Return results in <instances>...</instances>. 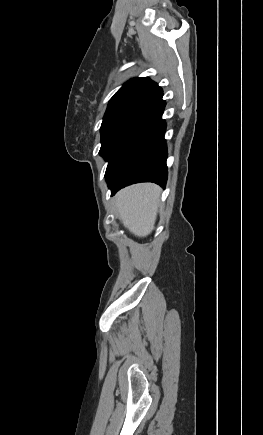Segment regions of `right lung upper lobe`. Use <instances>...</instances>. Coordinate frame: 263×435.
<instances>
[{
    "instance_id": "cb5924a9",
    "label": "right lung upper lobe",
    "mask_w": 263,
    "mask_h": 435,
    "mask_svg": "<svg viewBox=\"0 0 263 435\" xmlns=\"http://www.w3.org/2000/svg\"><path fill=\"white\" fill-rule=\"evenodd\" d=\"M162 93V89L148 77L133 78L111 98L108 106L135 104L145 106Z\"/></svg>"
}]
</instances>
